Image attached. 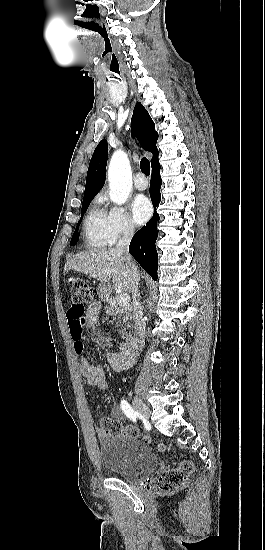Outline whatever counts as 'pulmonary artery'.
<instances>
[{
  "instance_id": "obj_1",
  "label": "pulmonary artery",
  "mask_w": 265,
  "mask_h": 550,
  "mask_svg": "<svg viewBox=\"0 0 265 550\" xmlns=\"http://www.w3.org/2000/svg\"><path fill=\"white\" fill-rule=\"evenodd\" d=\"M134 187L137 190H145L148 187V181L143 173H138L134 179Z\"/></svg>"
}]
</instances>
